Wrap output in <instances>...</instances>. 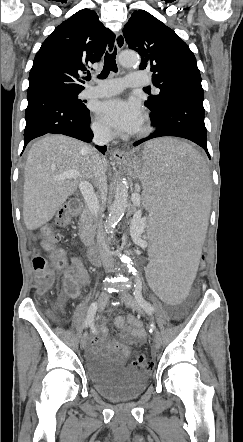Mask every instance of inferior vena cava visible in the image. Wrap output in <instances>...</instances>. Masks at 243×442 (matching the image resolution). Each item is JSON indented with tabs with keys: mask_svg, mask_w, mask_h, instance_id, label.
Masks as SVG:
<instances>
[{
	"mask_svg": "<svg viewBox=\"0 0 243 442\" xmlns=\"http://www.w3.org/2000/svg\"><path fill=\"white\" fill-rule=\"evenodd\" d=\"M92 129L94 133L93 142L97 145L100 146L106 145L113 138L112 132L108 127L96 125L93 126ZM93 166H94V183L98 187L101 196L104 197L107 194V180L104 168L102 166V158L96 151L93 155ZM95 201L99 209V203L97 202L96 197ZM96 228H97V235H96L97 250L99 251L105 270L111 272L113 268L112 253L105 241L103 224L100 217L97 214H96Z\"/></svg>",
	"mask_w": 243,
	"mask_h": 442,
	"instance_id": "obj_1",
	"label": "inferior vena cava"
}]
</instances>
